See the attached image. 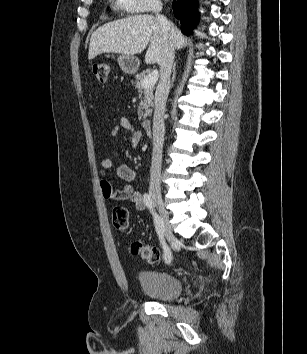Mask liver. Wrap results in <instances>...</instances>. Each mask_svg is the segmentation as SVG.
Here are the masks:
<instances>
[{
	"mask_svg": "<svg viewBox=\"0 0 307 354\" xmlns=\"http://www.w3.org/2000/svg\"><path fill=\"white\" fill-rule=\"evenodd\" d=\"M171 32L174 49H181L188 44L189 40L172 24ZM148 45L145 62L159 63L163 40L157 18L148 14L130 16L109 22L94 31L90 39L88 59L92 60L102 53L135 55Z\"/></svg>",
	"mask_w": 307,
	"mask_h": 354,
	"instance_id": "obj_1",
	"label": "liver"
}]
</instances>
